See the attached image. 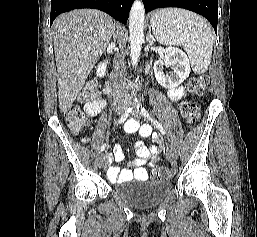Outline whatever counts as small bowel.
Wrapping results in <instances>:
<instances>
[{"label": "small bowel", "mask_w": 257, "mask_h": 237, "mask_svg": "<svg viewBox=\"0 0 257 237\" xmlns=\"http://www.w3.org/2000/svg\"><path fill=\"white\" fill-rule=\"evenodd\" d=\"M185 91L183 87L172 88L168 92V96L172 101H179L183 98ZM106 107L105 101L96 100L93 102H88L85 104L86 113L93 117L99 114ZM125 130L129 133L139 131L140 135L143 137L150 136L152 128L149 125H140L136 120H128L125 124ZM155 143H159L158 138H154ZM138 158L134 161L136 168L122 169L118 167L109 166L107 169V174L109 179L113 183H119L130 179L136 180H146L148 178L147 170L144 167L148 162L155 163L158 161V156L160 154V149L156 146H146L143 142H137L135 144ZM124 158V153L119 145H116L113 154L109 156L108 160L111 161H122Z\"/></svg>", "instance_id": "1"}]
</instances>
